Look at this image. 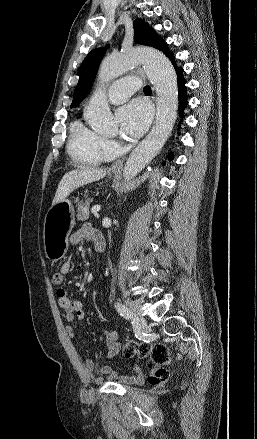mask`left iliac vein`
Listing matches in <instances>:
<instances>
[{
	"instance_id": "obj_1",
	"label": "left iliac vein",
	"mask_w": 257,
	"mask_h": 439,
	"mask_svg": "<svg viewBox=\"0 0 257 439\" xmlns=\"http://www.w3.org/2000/svg\"><path fill=\"white\" fill-rule=\"evenodd\" d=\"M130 311L132 313V320L135 324H144L143 310L139 301H131L129 303Z\"/></svg>"
}]
</instances>
